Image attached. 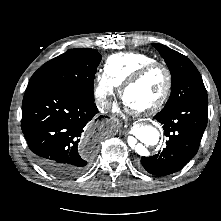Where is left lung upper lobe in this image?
Masks as SVG:
<instances>
[{
  "label": "left lung upper lobe",
  "mask_w": 221,
  "mask_h": 221,
  "mask_svg": "<svg viewBox=\"0 0 221 221\" xmlns=\"http://www.w3.org/2000/svg\"><path fill=\"white\" fill-rule=\"evenodd\" d=\"M171 72V95L164 109L190 100H208L202 77L195 65L181 53L162 44L153 43Z\"/></svg>",
  "instance_id": "obj_1"
}]
</instances>
